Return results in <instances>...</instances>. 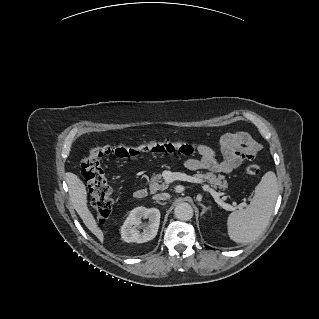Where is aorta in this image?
<instances>
[{"label": "aorta", "instance_id": "1", "mask_svg": "<svg viewBox=\"0 0 319 319\" xmlns=\"http://www.w3.org/2000/svg\"><path fill=\"white\" fill-rule=\"evenodd\" d=\"M174 215L181 221H188L193 217V208L186 202L178 203L174 209Z\"/></svg>", "mask_w": 319, "mask_h": 319}]
</instances>
